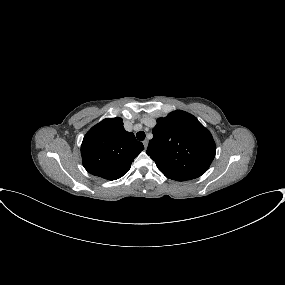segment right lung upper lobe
I'll list each match as a JSON object with an SVG mask.
<instances>
[{"instance_id":"right-lung-upper-lobe-1","label":"right lung upper lobe","mask_w":285,"mask_h":285,"mask_svg":"<svg viewBox=\"0 0 285 285\" xmlns=\"http://www.w3.org/2000/svg\"><path fill=\"white\" fill-rule=\"evenodd\" d=\"M144 149L132 132H127L120 117L107 118L84 136L81 154L85 169L92 175L116 180L125 175Z\"/></svg>"}]
</instances>
